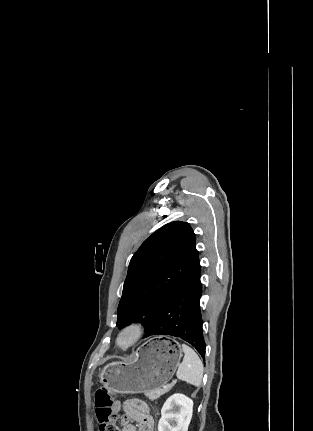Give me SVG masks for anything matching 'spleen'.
Returning a JSON list of instances; mask_svg holds the SVG:
<instances>
[{
  "label": "spleen",
  "instance_id": "spleen-1",
  "mask_svg": "<svg viewBox=\"0 0 313 431\" xmlns=\"http://www.w3.org/2000/svg\"><path fill=\"white\" fill-rule=\"evenodd\" d=\"M181 348L185 356L178 367L177 378L196 387H200L203 378L202 361L196 352L186 344H182Z\"/></svg>",
  "mask_w": 313,
  "mask_h": 431
}]
</instances>
